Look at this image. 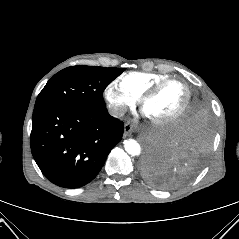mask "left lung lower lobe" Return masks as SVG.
Returning <instances> with one entry per match:
<instances>
[{
	"label": "left lung lower lobe",
	"instance_id": "left-lung-lower-lobe-1",
	"mask_svg": "<svg viewBox=\"0 0 239 239\" xmlns=\"http://www.w3.org/2000/svg\"><path fill=\"white\" fill-rule=\"evenodd\" d=\"M212 137L206 108L195 102L166 134L152 142L143 161L146 179L160 188H173L201 168Z\"/></svg>",
	"mask_w": 239,
	"mask_h": 239
}]
</instances>
